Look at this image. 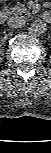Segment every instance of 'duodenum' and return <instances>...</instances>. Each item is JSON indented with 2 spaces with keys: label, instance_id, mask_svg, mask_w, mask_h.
<instances>
[{
  "label": "duodenum",
  "instance_id": "duodenum-1",
  "mask_svg": "<svg viewBox=\"0 0 51 153\" xmlns=\"http://www.w3.org/2000/svg\"><path fill=\"white\" fill-rule=\"evenodd\" d=\"M50 17H51L50 13L48 12L43 14V19L46 21L49 20ZM6 20H7V12L6 10L2 9L0 10V23H4Z\"/></svg>",
  "mask_w": 51,
  "mask_h": 153
}]
</instances>
